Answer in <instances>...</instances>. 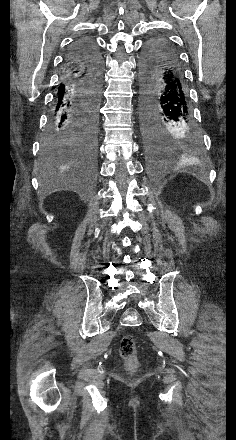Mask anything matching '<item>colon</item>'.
<instances>
[{
	"label": "colon",
	"instance_id": "5ec220e1",
	"mask_svg": "<svg viewBox=\"0 0 236 440\" xmlns=\"http://www.w3.org/2000/svg\"><path fill=\"white\" fill-rule=\"evenodd\" d=\"M121 353L122 356L126 359L127 367L130 370H133L137 366L136 360V350L134 342L131 338L126 337L121 344Z\"/></svg>",
	"mask_w": 236,
	"mask_h": 440
}]
</instances>
